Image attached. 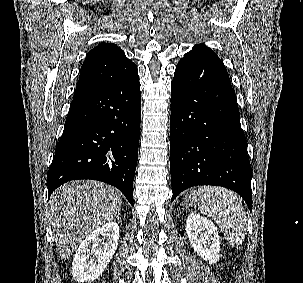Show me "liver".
<instances>
[{
  "mask_svg": "<svg viewBox=\"0 0 303 283\" xmlns=\"http://www.w3.org/2000/svg\"><path fill=\"white\" fill-rule=\"evenodd\" d=\"M121 193L107 184L81 180L60 186L49 200V220L61 258L69 259L93 231L115 218Z\"/></svg>",
  "mask_w": 303,
  "mask_h": 283,
  "instance_id": "liver-1",
  "label": "liver"
}]
</instances>
